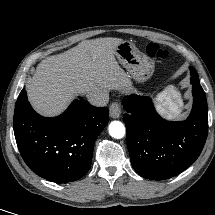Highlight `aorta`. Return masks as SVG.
Instances as JSON below:
<instances>
[{
	"mask_svg": "<svg viewBox=\"0 0 215 215\" xmlns=\"http://www.w3.org/2000/svg\"><path fill=\"white\" fill-rule=\"evenodd\" d=\"M109 134L116 139H121L125 135V126L120 121H113L109 125Z\"/></svg>",
	"mask_w": 215,
	"mask_h": 215,
	"instance_id": "1",
	"label": "aorta"
}]
</instances>
